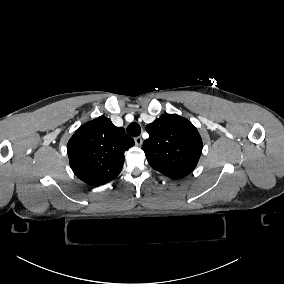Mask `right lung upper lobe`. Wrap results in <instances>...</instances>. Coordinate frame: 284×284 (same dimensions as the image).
I'll return each mask as SVG.
<instances>
[{
  "label": "right lung upper lobe",
  "instance_id": "cb5924a9",
  "mask_svg": "<svg viewBox=\"0 0 284 284\" xmlns=\"http://www.w3.org/2000/svg\"><path fill=\"white\" fill-rule=\"evenodd\" d=\"M134 140L123 127L100 116L80 126L67 145L70 166L85 183L97 186L115 179L122 170L124 152Z\"/></svg>",
  "mask_w": 284,
  "mask_h": 284
}]
</instances>
